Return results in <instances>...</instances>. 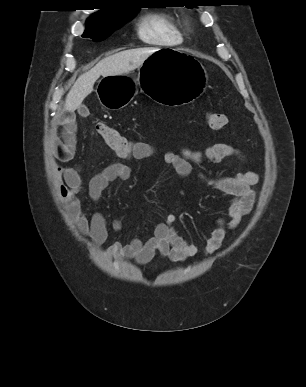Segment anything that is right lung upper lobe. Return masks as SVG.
I'll return each instance as SVG.
<instances>
[{"mask_svg": "<svg viewBox=\"0 0 306 387\" xmlns=\"http://www.w3.org/2000/svg\"><path fill=\"white\" fill-rule=\"evenodd\" d=\"M128 9H139L135 8H124V7H115L112 9H106L105 11L99 12L91 16L87 22H106L111 18L117 16L120 12L128 10Z\"/></svg>", "mask_w": 306, "mask_h": 387, "instance_id": "1", "label": "right lung upper lobe"}]
</instances>
